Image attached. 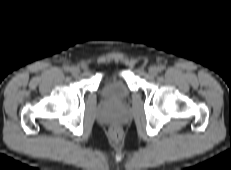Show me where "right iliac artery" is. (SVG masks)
Instances as JSON below:
<instances>
[{
    "label": "right iliac artery",
    "instance_id": "obj_1",
    "mask_svg": "<svg viewBox=\"0 0 231 170\" xmlns=\"http://www.w3.org/2000/svg\"><path fill=\"white\" fill-rule=\"evenodd\" d=\"M70 69H71V68H70L69 66H65V67H64V70H65V71H70Z\"/></svg>",
    "mask_w": 231,
    "mask_h": 170
}]
</instances>
